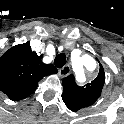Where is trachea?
Instances as JSON below:
<instances>
[{
  "label": "trachea",
  "mask_w": 124,
  "mask_h": 124,
  "mask_svg": "<svg viewBox=\"0 0 124 124\" xmlns=\"http://www.w3.org/2000/svg\"><path fill=\"white\" fill-rule=\"evenodd\" d=\"M66 63V55L64 53L58 54L54 59V65L57 68H62Z\"/></svg>",
  "instance_id": "3493384b"
}]
</instances>
